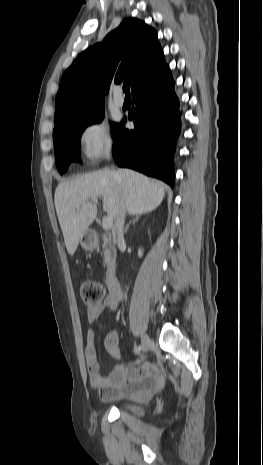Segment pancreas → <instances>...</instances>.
Instances as JSON below:
<instances>
[{
  "label": "pancreas",
  "instance_id": "obj_1",
  "mask_svg": "<svg viewBox=\"0 0 263 465\" xmlns=\"http://www.w3.org/2000/svg\"><path fill=\"white\" fill-rule=\"evenodd\" d=\"M102 238H103L102 248L104 250V257H103L104 264L109 265L115 260L116 251L114 247L112 246L110 239L106 235H103Z\"/></svg>",
  "mask_w": 263,
  "mask_h": 465
}]
</instances>
